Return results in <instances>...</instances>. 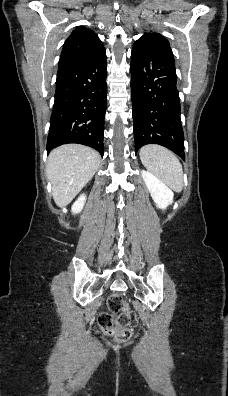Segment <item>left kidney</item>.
I'll list each match as a JSON object with an SVG mask.
<instances>
[{
	"label": "left kidney",
	"instance_id": "5707ae66",
	"mask_svg": "<svg viewBox=\"0 0 228 396\" xmlns=\"http://www.w3.org/2000/svg\"><path fill=\"white\" fill-rule=\"evenodd\" d=\"M141 174L151 197L158 208L164 210L172 204L174 194L170 188L148 171L142 170Z\"/></svg>",
	"mask_w": 228,
	"mask_h": 396
}]
</instances>
